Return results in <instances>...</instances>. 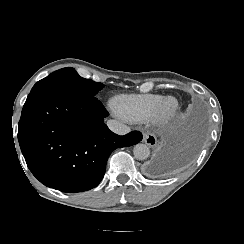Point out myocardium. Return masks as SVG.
I'll return each mask as SVG.
<instances>
[{
	"mask_svg": "<svg viewBox=\"0 0 244 244\" xmlns=\"http://www.w3.org/2000/svg\"><path fill=\"white\" fill-rule=\"evenodd\" d=\"M179 103L173 96H165L160 98L157 104V114L154 119V123L157 125L166 124L172 119L176 111L178 110Z\"/></svg>",
	"mask_w": 244,
	"mask_h": 244,
	"instance_id": "1",
	"label": "myocardium"
}]
</instances>
